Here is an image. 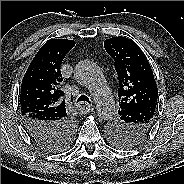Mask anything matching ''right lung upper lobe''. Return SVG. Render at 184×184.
Wrapping results in <instances>:
<instances>
[{
    "label": "right lung upper lobe",
    "instance_id": "cb5924a9",
    "mask_svg": "<svg viewBox=\"0 0 184 184\" xmlns=\"http://www.w3.org/2000/svg\"><path fill=\"white\" fill-rule=\"evenodd\" d=\"M74 45L73 40L51 39L37 52L21 84L22 116L30 114L47 121L67 118L60 67Z\"/></svg>",
    "mask_w": 184,
    "mask_h": 184
}]
</instances>
